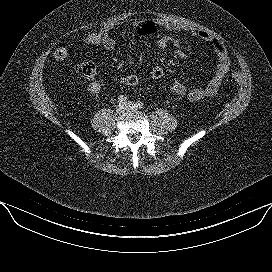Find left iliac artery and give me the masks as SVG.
Segmentation results:
<instances>
[{
  "instance_id": "left-iliac-artery-1",
  "label": "left iliac artery",
  "mask_w": 272,
  "mask_h": 272,
  "mask_svg": "<svg viewBox=\"0 0 272 272\" xmlns=\"http://www.w3.org/2000/svg\"><path fill=\"white\" fill-rule=\"evenodd\" d=\"M137 106H138L140 109H142V108L144 107V103L138 101V102H137Z\"/></svg>"
}]
</instances>
